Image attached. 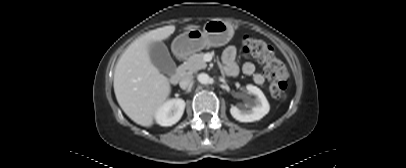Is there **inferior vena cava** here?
<instances>
[{
  "label": "inferior vena cava",
  "mask_w": 406,
  "mask_h": 168,
  "mask_svg": "<svg viewBox=\"0 0 406 168\" xmlns=\"http://www.w3.org/2000/svg\"><path fill=\"white\" fill-rule=\"evenodd\" d=\"M192 81H193V75L186 74L181 78L179 85L182 89H186L191 85Z\"/></svg>",
  "instance_id": "602c4592"
}]
</instances>
